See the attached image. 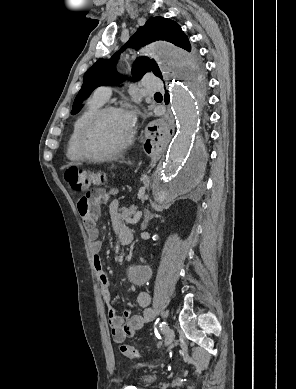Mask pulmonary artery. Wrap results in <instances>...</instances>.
Returning a JSON list of instances; mask_svg holds the SVG:
<instances>
[{
    "mask_svg": "<svg viewBox=\"0 0 296 389\" xmlns=\"http://www.w3.org/2000/svg\"><path fill=\"white\" fill-rule=\"evenodd\" d=\"M143 86L147 90L157 91L161 89V82L153 76H146L143 81ZM94 95L106 102L111 96V89L108 86H100L96 89Z\"/></svg>",
    "mask_w": 296,
    "mask_h": 389,
    "instance_id": "pulmonary-artery-1",
    "label": "pulmonary artery"
}]
</instances>
